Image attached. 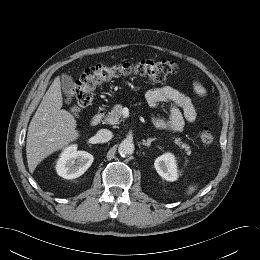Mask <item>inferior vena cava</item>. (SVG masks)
<instances>
[{"label": "inferior vena cava", "instance_id": "obj_1", "mask_svg": "<svg viewBox=\"0 0 260 260\" xmlns=\"http://www.w3.org/2000/svg\"><path fill=\"white\" fill-rule=\"evenodd\" d=\"M96 139L98 140V142L100 143H105L108 142L109 140L112 139L113 134L110 130L108 129H100L96 135H95Z\"/></svg>", "mask_w": 260, "mask_h": 260}]
</instances>
